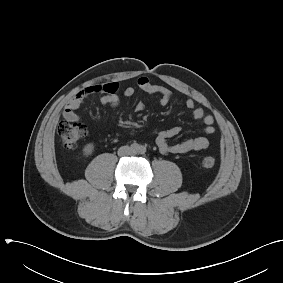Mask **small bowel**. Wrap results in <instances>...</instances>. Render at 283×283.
<instances>
[{
    "mask_svg": "<svg viewBox=\"0 0 283 283\" xmlns=\"http://www.w3.org/2000/svg\"><path fill=\"white\" fill-rule=\"evenodd\" d=\"M137 85L140 90L147 94H158L160 96L159 103L161 106L168 105L172 98V92L168 88L153 84L146 77H140L137 80ZM118 91L119 85L116 82L86 87L76 93L68 101L63 111V117L69 122L79 120V116L76 111L80 107L82 101L87 96L92 94H100V101L103 105L116 108L120 104V95ZM123 94L126 97H132L135 94V89L131 86H128L124 89ZM185 106L191 111L192 118L204 125V136L170 144L169 140L176 137L180 132L178 127L156 131V145L162 154H185L191 151L206 150L209 146V140L207 136H211L216 132L214 127V118L212 115L206 114L202 108L197 107L192 99H187ZM144 109L145 105L143 103H137L135 106L136 111L141 112Z\"/></svg>",
    "mask_w": 283,
    "mask_h": 283,
    "instance_id": "c3829d8e",
    "label": "small bowel"
}]
</instances>
